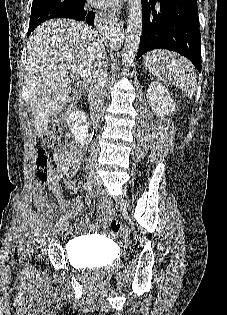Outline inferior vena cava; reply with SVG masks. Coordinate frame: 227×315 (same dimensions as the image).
<instances>
[{"mask_svg": "<svg viewBox=\"0 0 227 315\" xmlns=\"http://www.w3.org/2000/svg\"><path fill=\"white\" fill-rule=\"evenodd\" d=\"M108 60L106 53H98L94 67L89 77L88 100L90 104L91 119L95 126L99 124L103 115L105 86L107 84Z\"/></svg>", "mask_w": 227, "mask_h": 315, "instance_id": "inferior-vena-cava-1", "label": "inferior vena cava"}]
</instances>
